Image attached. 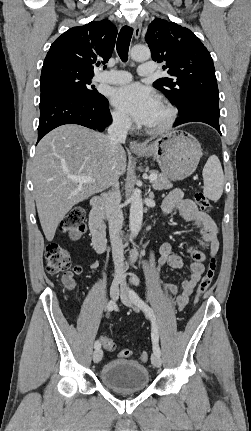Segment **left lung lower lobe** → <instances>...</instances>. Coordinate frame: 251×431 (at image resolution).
Wrapping results in <instances>:
<instances>
[{
	"instance_id": "0a47b994",
	"label": "left lung lower lobe",
	"mask_w": 251,
	"mask_h": 431,
	"mask_svg": "<svg viewBox=\"0 0 251 431\" xmlns=\"http://www.w3.org/2000/svg\"><path fill=\"white\" fill-rule=\"evenodd\" d=\"M219 116L218 102L198 101L188 106L184 112L179 113L174 127L187 122H203L211 125L221 134Z\"/></svg>"
}]
</instances>
